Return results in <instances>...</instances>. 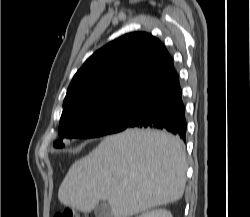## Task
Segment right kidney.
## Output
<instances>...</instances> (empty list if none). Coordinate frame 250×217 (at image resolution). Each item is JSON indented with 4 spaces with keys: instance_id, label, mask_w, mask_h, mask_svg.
I'll return each mask as SVG.
<instances>
[{
    "instance_id": "right-kidney-1",
    "label": "right kidney",
    "mask_w": 250,
    "mask_h": 217,
    "mask_svg": "<svg viewBox=\"0 0 250 217\" xmlns=\"http://www.w3.org/2000/svg\"><path fill=\"white\" fill-rule=\"evenodd\" d=\"M138 217H173L169 210L160 208L147 211Z\"/></svg>"
}]
</instances>
